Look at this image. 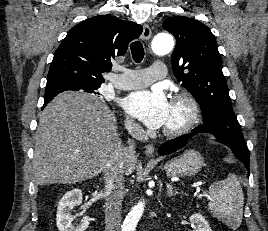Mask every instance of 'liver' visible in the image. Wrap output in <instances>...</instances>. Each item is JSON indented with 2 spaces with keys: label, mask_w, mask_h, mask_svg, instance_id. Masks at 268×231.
Listing matches in <instances>:
<instances>
[{
  "label": "liver",
  "mask_w": 268,
  "mask_h": 231,
  "mask_svg": "<svg viewBox=\"0 0 268 231\" xmlns=\"http://www.w3.org/2000/svg\"><path fill=\"white\" fill-rule=\"evenodd\" d=\"M121 148L116 117L103 100L83 92L62 93L39 117L32 161L36 183L92 179ZM135 168L136 160L126 163V174Z\"/></svg>",
  "instance_id": "liver-1"
}]
</instances>
